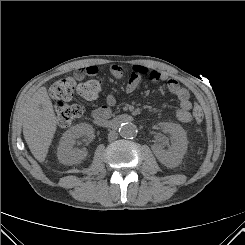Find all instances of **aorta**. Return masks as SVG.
<instances>
[{"label":"aorta","instance_id":"obj_1","mask_svg":"<svg viewBox=\"0 0 245 245\" xmlns=\"http://www.w3.org/2000/svg\"><path fill=\"white\" fill-rule=\"evenodd\" d=\"M137 132V127L132 123H123L119 128V133L124 138H133Z\"/></svg>","mask_w":245,"mask_h":245}]
</instances>
